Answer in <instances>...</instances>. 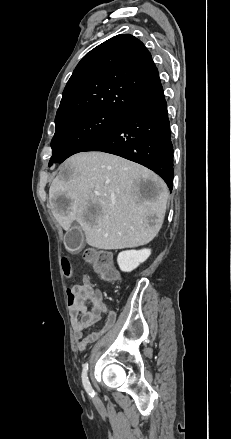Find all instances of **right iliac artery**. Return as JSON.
I'll return each instance as SVG.
<instances>
[{
  "mask_svg": "<svg viewBox=\"0 0 231 439\" xmlns=\"http://www.w3.org/2000/svg\"><path fill=\"white\" fill-rule=\"evenodd\" d=\"M87 371H88V364L85 363L83 365V371H82V383H83V386H84L86 392L88 393V395L93 397L95 392H94V390L89 382V379L87 376Z\"/></svg>",
  "mask_w": 231,
  "mask_h": 439,
  "instance_id": "right-iliac-artery-1",
  "label": "right iliac artery"
}]
</instances>
